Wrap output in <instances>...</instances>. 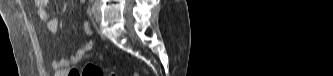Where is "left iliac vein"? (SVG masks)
I'll return each mask as SVG.
<instances>
[{
  "instance_id": "obj_1",
  "label": "left iliac vein",
  "mask_w": 333,
  "mask_h": 76,
  "mask_svg": "<svg viewBox=\"0 0 333 76\" xmlns=\"http://www.w3.org/2000/svg\"><path fill=\"white\" fill-rule=\"evenodd\" d=\"M94 18L97 22L101 21V12L98 7L95 8Z\"/></svg>"
}]
</instances>
